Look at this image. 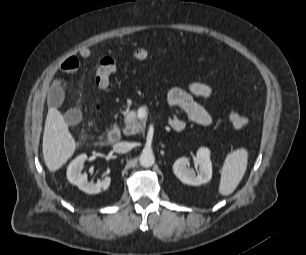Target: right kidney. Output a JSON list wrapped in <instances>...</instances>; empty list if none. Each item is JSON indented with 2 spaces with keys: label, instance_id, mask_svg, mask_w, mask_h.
I'll return each mask as SVG.
<instances>
[{
  "label": "right kidney",
  "instance_id": "1",
  "mask_svg": "<svg viewBox=\"0 0 306 255\" xmlns=\"http://www.w3.org/2000/svg\"><path fill=\"white\" fill-rule=\"evenodd\" d=\"M87 160L86 154H81L76 157L67 168V178L70 183L77 185L78 188L88 194H97L103 190L108 189L111 178L105 177L102 181L97 183H89L87 174L81 173L84 162Z\"/></svg>",
  "mask_w": 306,
  "mask_h": 255
}]
</instances>
